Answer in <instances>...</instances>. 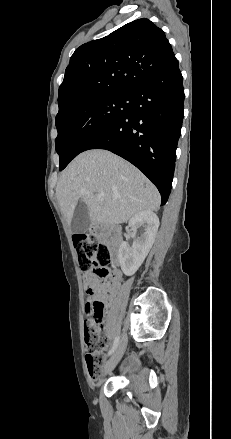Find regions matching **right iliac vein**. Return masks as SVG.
Here are the masks:
<instances>
[{"mask_svg": "<svg viewBox=\"0 0 231 439\" xmlns=\"http://www.w3.org/2000/svg\"><path fill=\"white\" fill-rule=\"evenodd\" d=\"M126 345H127V336H126V334H124L121 341L119 342L115 352L112 354L110 359L105 363L104 370H103L104 374L109 373L110 371H112L115 368V366L118 364V362L120 361V359L122 358V356L125 352ZM100 385H101V381L98 382V386H100Z\"/></svg>", "mask_w": 231, "mask_h": 439, "instance_id": "obj_1", "label": "right iliac vein"}]
</instances>
